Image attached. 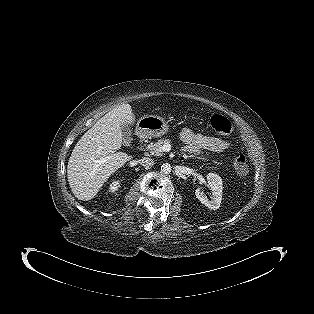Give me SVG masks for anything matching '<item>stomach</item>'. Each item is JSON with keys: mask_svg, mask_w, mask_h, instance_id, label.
Instances as JSON below:
<instances>
[{"mask_svg": "<svg viewBox=\"0 0 314 314\" xmlns=\"http://www.w3.org/2000/svg\"><path fill=\"white\" fill-rule=\"evenodd\" d=\"M137 129L141 134L161 137L169 131V125L160 116L146 115L137 122Z\"/></svg>", "mask_w": 314, "mask_h": 314, "instance_id": "stomach-1", "label": "stomach"}]
</instances>
